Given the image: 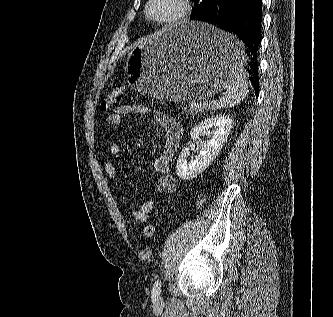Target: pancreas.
I'll return each mask as SVG.
<instances>
[{
    "instance_id": "pancreas-1",
    "label": "pancreas",
    "mask_w": 333,
    "mask_h": 317,
    "mask_svg": "<svg viewBox=\"0 0 333 317\" xmlns=\"http://www.w3.org/2000/svg\"><path fill=\"white\" fill-rule=\"evenodd\" d=\"M211 109H215V106H213L212 102L201 103V104H196V105L190 104L188 108H185V110L193 116L195 114L202 113L203 111L211 110Z\"/></svg>"
}]
</instances>
